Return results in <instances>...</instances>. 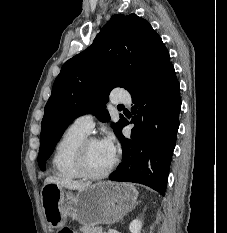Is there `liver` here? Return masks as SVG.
Segmentation results:
<instances>
[{"label": "liver", "mask_w": 227, "mask_h": 233, "mask_svg": "<svg viewBox=\"0 0 227 233\" xmlns=\"http://www.w3.org/2000/svg\"><path fill=\"white\" fill-rule=\"evenodd\" d=\"M51 183L69 190H82L91 186L90 182H78L64 177L48 176L44 180V186Z\"/></svg>", "instance_id": "obj_1"}]
</instances>
